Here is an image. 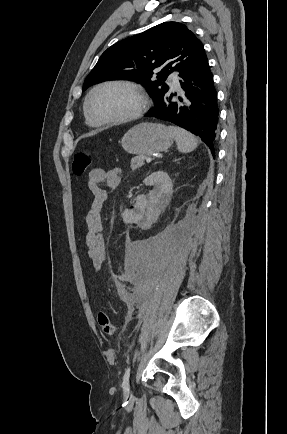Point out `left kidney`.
<instances>
[{"label":"left kidney","mask_w":287,"mask_h":434,"mask_svg":"<svg viewBox=\"0 0 287 434\" xmlns=\"http://www.w3.org/2000/svg\"><path fill=\"white\" fill-rule=\"evenodd\" d=\"M145 185L154 188L147 196L136 198L134 210H125L122 218L125 223H138L146 214V209L166 203L172 195V182L168 174L162 171L154 172L143 181Z\"/></svg>","instance_id":"5707ae66"}]
</instances>
